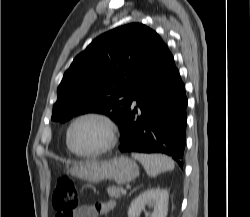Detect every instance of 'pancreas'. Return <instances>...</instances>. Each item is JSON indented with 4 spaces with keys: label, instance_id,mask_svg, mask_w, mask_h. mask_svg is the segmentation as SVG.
I'll use <instances>...</instances> for the list:
<instances>
[{
    "label": "pancreas",
    "instance_id": "cf45deb5",
    "mask_svg": "<svg viewBox=\"0 0 250 217\" xmlns=\"http://www.w3.org/2000/svg\"><path fill=\"white\" fill-rule=\"evenodd\" d=\"M124 189L122 187H115V186H110L107 188V192H108V195L111 197V198H115V199H118L122 196V191Z\"/></svg>",
    "mask_w": 250,
    "mask_h": 217
}]
</instances>
